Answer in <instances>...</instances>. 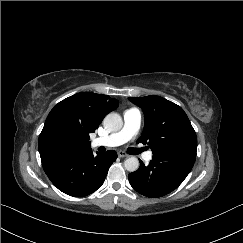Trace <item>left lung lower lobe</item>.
Masks as SVG:
<instances>
[{
    "label": "left lung lower lobe",
    "mask_w": 243,
    "mask_h": 243,
    "mask_svg": "<svg viewBox=\"0 0 243 243\" xmlns=\"http://www.w3.org/2000/svg\"><path fill=\"white\" fill-rule=\"evenodd\" d=\"M195 158L196 148L172 149L154 154L148 166L140 161L139 169L129 174V182L144 196H164L184 181Z\"/></svg>",
    "instance_id": "obj_1"
}]
</instances>
